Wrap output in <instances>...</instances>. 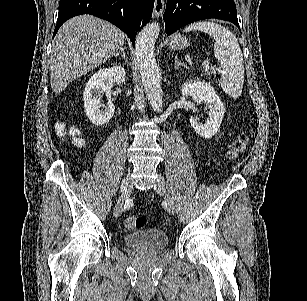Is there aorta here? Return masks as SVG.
I'll return each mask as SVG.
<instances>
[{"label":"aorta","mask_w":307,"mask_h":301,"mask_svg":"<svg viewBox=\"0 0 307 301\" xmlns=\"http://www.w3.org/2000/svg\"><path fill=\"white\" fill-rule=\"evenodd\" d=\"M159 32L158 22L146 24L135 40V54L146 96L153 110L163 112L162 82L154 54V44Z\"/></svg>","instance_id":"obj_1"}]
</instances>
